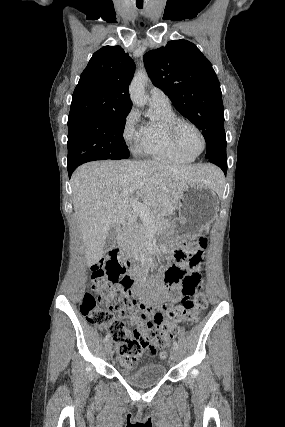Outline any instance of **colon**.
Wrapping results in <instances>:
<instances>
[{"label":"colon","mask_w":285,"mask_h":427,"mask_svg":"<svg viewBox=\"0 0 285 427\" xmlns=\"http://www.w3.org/2000/svg\"><path fill=\"white\" fill-rule=\"evenodd\" d=\"M207 245V238L202 237L197 241L186 240L184 249L174 251V263L164 271L162 283L167 287L181 286L186 295L177 308L163 314V323L151 326L138 316L144 305V293L129 274L126 261L112 252L90 268V289L83 293L80 312L91 325L106 328L119 362L132 366L148 351L158 359H166L167 343L178 332L175 323L181 318L194 323L197 314L206 309L201 274L188 273L181 264L202 255ZM113 312L118 316L114 317ZM131 327L136 336L131 335Z\"/></svg>","instance_id":"1"}]
</instances>
